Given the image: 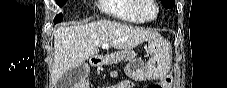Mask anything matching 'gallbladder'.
<instances>
[{"label": "gallbladder", "mask_w": 227, "mask_h": 88, "mask_svg": "<svg viewBox=\"0 0 227 88\" xmlns=\"http://www.w3.org/2000/svg\"><path fill=\"white\" fill-rule=\"evenodd\" d=\"M86 75L85 66L83 64L66 72L57 82V88H72L76 83L80 82Z\"/></svg>", "instance_id": "obj_1"}]
</instances>
